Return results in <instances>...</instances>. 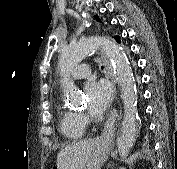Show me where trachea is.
Here are the masks:
<instances>
[{"mask_svg": "<svg viewBox=\"0 0 177 169\" xmlns=\"http://www.w3.org/2000/svg\"><path fill=\"white\" fill-rule=\"evenodd\" d=\"M101 69H104V67H103V66H101Z\"/></svg>", "mask_w": 177, "mask_h": 169, "instance_id": "1", "label": "trachea"}]
</instances>
